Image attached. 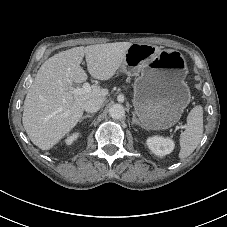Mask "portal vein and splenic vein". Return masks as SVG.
I'll list each match as a JSON object with an SVG mask.
<instances>
[{
    "label": "portal vein and splenic vein",
    "mask_w": 227,
    "mask_h": 227,
    "mask_svg": "<svg viewBox=\"0 0 227 227\" xmlns=\"http://www.w3.org/2000/svg\"><path fill=\"white\" fill-rule=\"evenodd\" d=\"M90 91H91L90 84L88 82H85L83 84V87L82 88H75L73 90V93H75V94H81V93H88ZM182 128H184V127L183 126H176V129H182Z\"/></svg>",
    "instance_id": "portal-vein-and-splenic-vein-1"
}]
</instances>
